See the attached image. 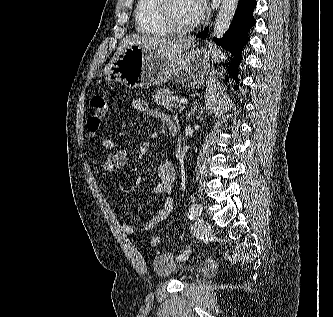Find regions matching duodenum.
Segmentation results:
<instances>
[{
    "instance_id": "duodenum-1",
    "label": "duodenum",
    "mask_w": 333,
    "mask_h": 317,
    "mask_svg": "<svg viewBox=\"0 0 333 317\" xmlns=\"http://www.w3.org/2000/svg\"><path fill=\"white\" fill-rule=\"evenodd\" d=\"M167 127L171 133L172 136H177V133H178V128H177V125L173 122V121H169L167 123Z\"/></svg>"
}]
</instances>
